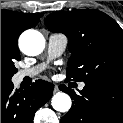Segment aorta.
<instances>
[{
    "label": "aorta",
    "instance_id": "1",
    "mask_svg": "<svg viewBox=\"0 0 123 123\" xmlns=\"http://www.w3.org/2000/svg\"><path fill=\"white\" fill-rule=\"evenodd\" d=\"M44 46L45 39L38 31H26L20 38V47L26 55H38L43 51ZM51 104L56 111L67 112L70 110L72 102L68 94L58 92L53 96Z\"/></svg>",
    "mask_w": 123,
    "mask_h": 123
}]
</instances>
